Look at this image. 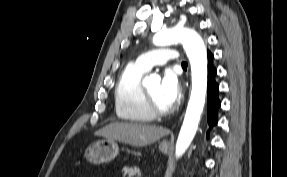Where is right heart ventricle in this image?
<instances>
[{
  "label": "right heart ventricle",
  "instance_id": "right-heart-ventricle-1",
  "mask_svg": "<svg viewBox=\"0 0 287 177\" xmlns=\"http://www.w3.org/2000/svg\"><path fill=\"white\" fill-rule=\"evenodd\" d=\"M146 72L136 64L128 65L122 71L114 90L115 113L120 121L143 123L153 119L143 93L142 80Z\"/></svg>",
  "mask_w": 287,
  "mask_h": 177
}]
</instances>
